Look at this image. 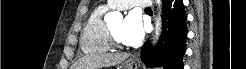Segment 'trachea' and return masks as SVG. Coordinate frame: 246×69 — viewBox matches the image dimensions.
Masks as SVG:
<instances>
[{
    "instance_id": "trachea-1",
    "label": "trachea",
    "mask_w": 246,
    "mask_h": 69,
    "mask_svg": "<svg viewBox=\"0 0 246 69\" xmlns=\"http://www.w3.org/2000/svg\"><path fill=\"white\" fill-rule=\"evenodd\" d=\"M146 10H151V8L147 7Z\"/></svg>"
}]
</instances>
